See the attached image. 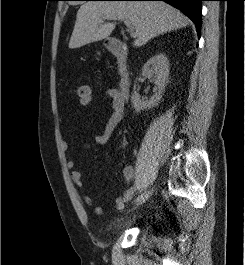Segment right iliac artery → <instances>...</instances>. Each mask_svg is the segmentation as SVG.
I'll list each match as a JSON object with an SVG mask.
<instances>
[{"instance_id":"82829eb1","label":"right iliac artery","mask_w":245,"mask_h":265,"mask_svg":"<svg viewBox=\"0 0 245 265\" xmlns=\"http://www.w3.org/2000/svg\"><path fill=\"white\" fill-rule=\"evenodd\" d=\"M124 207H125V204H124V203H118V204H117V208H118L119 210H123Z\"/></svg>"}]
</instances>
